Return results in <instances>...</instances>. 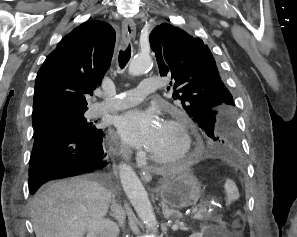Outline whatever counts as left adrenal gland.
Masks as SVG:
<instances>
[{"instance_id": "obj_1", "label": "left adrenal gland", "mask_w": 297, "mask_h": 237, "mask_svg": "<svg viewBox=\"0 0 297 237\" xmlns=\"http://www.w3.org/2000/svg\"><path fill=\"white\" fill-rule=\"evenodd\" d=\"M163 216L164 218L168 219L171 216H175L178 218L182 217V214L179 212V210L169 209L166 205L162 206Z\"/></svg>"}]
</instances>
